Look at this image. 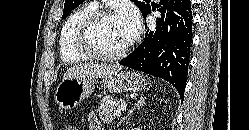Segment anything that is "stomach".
Instances as JSON below:
<instances>
[{
  "mask_svg": "<svg viewBox=\"0 0 249 130\" xmlns=\"http://www.w3.org/2000/svg\"><path fill=\"white\" fill-rule=\"evenodd\" d=\"M110 92H139L146 85V79L138 72H117L101 81ZM94 78L66 79L58 85L55 91V101L60 108L72 110L82 100L94 91Z\"/></svg>",
  "mask_w": 249,
  "mask_h": 130,
  "instance_id": "stomach-1",
  "label": "stomach"
}]
</instances>
